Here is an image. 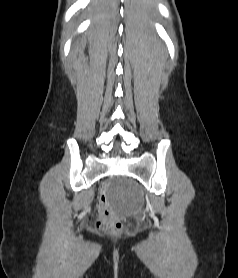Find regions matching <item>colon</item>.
Listing matches in <instances>:
<instances>
[{"instance_id": "colon-1", "label": "colon", "mask_w": 238, "mask_h": 278, "mask_svg": "<svg viewBox=\"0 0 238 278\" xmlns=\"http://www.w3.org/2000/svg\"><path fill=\"white\" fill-rule=\"evenodd\" d=\"M99 204H101V216L96 222V228L102 233L117 234L122 230V224L117 215L108 205L109 186L103 183L98 187Z\"/></svg>"}]
</instances>
